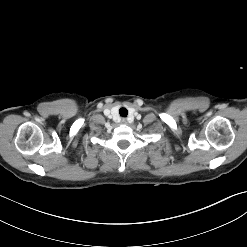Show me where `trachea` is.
<instances>
[{
	"instance_id": "obj_1",
	"label": "trachea",
	"mask_w": 247,
	"mask_h": 247,
	"mask_svg": "<svg viewBox=\"0 0 247 247\" xmlns=\"http://www.w3.org/2000/svg\"><path fill=\"white\" fill-rule=\"evenodd\" d=\"M119 114H120V116H122V117H126L127 115H128V110L126 109V108H120V110H119Z\"/></svg>"
}]
</instances>
